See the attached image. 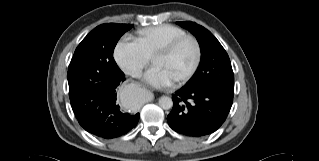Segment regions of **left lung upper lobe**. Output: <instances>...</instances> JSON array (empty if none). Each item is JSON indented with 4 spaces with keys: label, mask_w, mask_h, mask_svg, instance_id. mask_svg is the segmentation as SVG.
Returning <instances> with one entry per match:
<instances>
[{
    "label": "left lung upper lobe",
    "mask_w": 319,
    "mask_h": 161,
    "mask_svg": "<svg viewBox=\"0 0 319 161\" xmlns=\"http://www.w3.org/2000/svg\"><path fill=\"white\" fill-rule=\"evenodd\" d=\"M190 31L198 40L201 49V62L193 80L186 86L206 88L234 95V74L225 49L215 36L195 22H177Z\"/></svg>",
    "instance_id": "obj_1"
}]
</instances>
